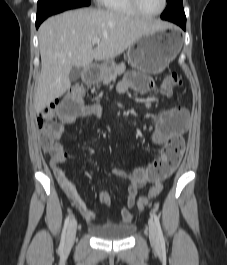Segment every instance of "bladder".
Wrapping results in <instances>:
<instances>
[{
	"label": "bladder",
	"mask_w": 227,
	"mask_h": 265,
	"mask_svg": "<svg viewBox=\"0 0 227 265\" xmlns=\"http://www.w3.org/2000/svg\"><path fill=\"white\" fill-rule=\"evenodd\" d=\"M88 231L98 239L118 241L129 238L135 231V225L132 223L121 225H90Z\"/></svg>",
	"instance_id": "31cf9c89"
}]
</instances>
